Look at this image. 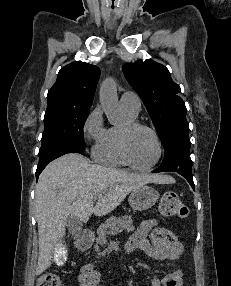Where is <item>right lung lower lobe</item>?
Instances as JSON below:
<instances>
[{
	"instance_id": "1",
	"label": "right lung lower lobe",
	"mask_w": 231,
	"mask_h": 286,
	"mask_svg": "<svg viewBox=\"0 0 231 286\" xmlns=\"http://www.w3.org/2000/svg\"><path fill=\"white\" fill-rule=\"evenodd\" d=\"M83 151H84L83 149L78 148L76 146L67 145V146L56 147L54 149H51V150L45 152L42 155H39V164H38V167L36 170V178L38 179L42 170L52 160H54V159H56V158H58L64 154L72 153V152H76V153H80V154L84 155Z\"/></svg>"
}]
</instances>
